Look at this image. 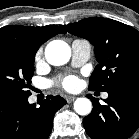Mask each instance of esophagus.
<instances>
[{"label":"esophagus","mask_w":139,"mask_h":139,"mask_svg":"<svg viewBox=\"0 0 139 139\" xmlns=\"http://www.w3.org/2000/svg\"><path fill=\"white\" fill-rule=\"evenodd\" d=\"M75 99H76L75 96H71V95H67V96H66V101H67L68 103H71V102L74 101Z\"/></svg>","instance_id":"1"}]
</instances>
